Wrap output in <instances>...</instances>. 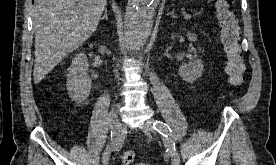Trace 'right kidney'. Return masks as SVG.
I'll return each instance as SVG.
<instances>
[{
  "label": "right kidney",
  "mask_w": 276,
  "mask_h": 165,
  "mask_svg": "<svg viewBox=\"0 0 276 165\" xmlns=\"http://www.w3.org/2000/svg\"><path fill=\"white\" fill-rule=\"evenodd\" d=\"M88 59L84 53L76 54L68 68L67 91L70 98L81 103L85 101L91 90V79L88 76Z\"/></svg>",
  "instance_id": "ca27d5eb"
}]
</instances>
